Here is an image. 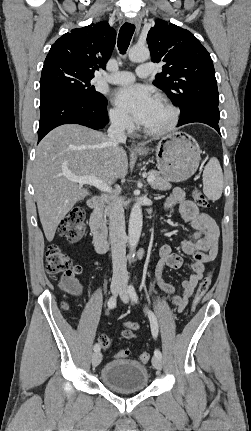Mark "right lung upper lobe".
<instances>
[{
    "label": "right lung upper lobe",
    "mask_w": 251,
    "mask_h": 431,
    "mask_svg": "<svg viewBox=\"0 0 251 431\" xmlns=\"http://www.w3.org/2000/svg\"><path fill=\"white\" fill-rule=\"evenodd\" d=\"M115 42L116 32L106 21L73 29L51 46L43 68L63 63L94 75L98 68L105 69Z\"/></svg>",
    "instance_id": "obj_1"
}]
</instances>
